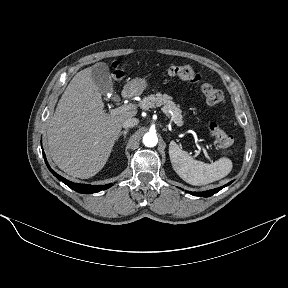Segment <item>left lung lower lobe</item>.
Returning a JSON list of instances; mask_svg holds the SVG:
<instances>
[{
	"label": "left lung lower lobe",
	"instance_id": "1",
	"mask_svg": "<svg viewBox=\"0 0 288 288\" xmlns=\"http://www.w3.org/2000/svg\"><path fill=\"white\" fill-rule=\"evenodd\" d=\"M231 182H229L228 184L220 187V188H216L213 190H208V191H204V192H190V194L194 195V196H203V197H209L212 196L213 194L217 193L218 191H220L222 188H224L225 186L231 184Z\"/></svg>",
	"mask_w": 288,
	"mask_h": 288
}]
</instances>
